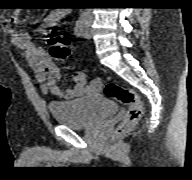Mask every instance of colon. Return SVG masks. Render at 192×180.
<instances>
[{"label":"colon","mask_w":192,"mask_h":180,"mask_svg":"<svg viewBox=\"0 0 192 180\" xmlns=\"http://www.w3.org/2000/svg\"><path fill=\"white\" fill-rule=\"evenodd\" d=\"M46 38L49 48V55L56 60H65L70 55V38L59 32L57 29L50 28ZM106 96L113 98L127 106V112L116 130V135H122L138 123L142 116V104L138 95L131 89L114 81L108 82L104 87Z\"/></svg>","instance_id":"1"}]
</instances>
